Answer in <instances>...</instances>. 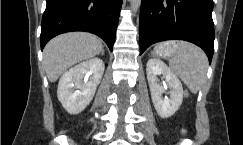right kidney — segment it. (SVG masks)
I'll return each instance as SVG.
<instances>
[{
	"mask_svg": "<svg viewBox=\"0 0 243 145\" xmlns=\"http://www.w3.org/2000/svg\"><path fill=\"white\" fill-rule=\"evenodd\" d=\"M103 73L104 62L92 58L70 68L61 76L57 96L68 113L78 114L89 105Z\"/></svg>",
	"mask_w": 243,
	"mask_h": 145,
	"instance_id": "1",
	"label": "right kidney"
}]
</instances>
